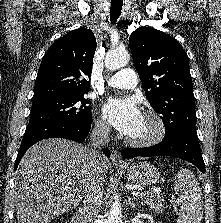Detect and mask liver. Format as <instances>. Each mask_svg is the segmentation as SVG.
I'll use <instances>...</instances> for the list:
<instances>
[{
    "label": "liver",
    "instance_id": "obj_1",
    "mask_svg": "<svg viewBox=\"0 0 221 223\" xmlns=\"http://www.w3.org/2000/svg\"><path fill=\"white\" fill-rule=\"evenodd\" d=\"M89 149L65 139L33 145L15 173L14 195L18 223H49L77 207L85 192L90 168ZM108 172L105 157L100 173Z\"/></svg>",
    "mask_w": 221,
    "mask_h": 223
}]
</instances>
